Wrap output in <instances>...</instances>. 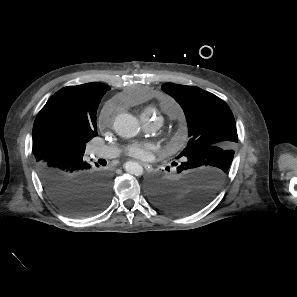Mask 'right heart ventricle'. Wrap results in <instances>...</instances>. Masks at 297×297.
I'll return each mask as SVG.
<instances>
[{
	"label": "right heart ventricle",
	"instance_id": "right-heart-ventricle-1",
	"mask_svg": "<svg viewBox=\"0 0 297 297\" xmlns=\"http://www.w3.org/2000/svg\"><path fill=\"white\" fill-rule=\"evenodd\" d=\"M159 106L160 108L167 112V113H171L173 110H174V105L172 102L170 101H167V100H162L160 103H159ZM149 114V109H147L143 114L142 116L145 117L146 115Z\"/></svg>",
	"mask_w": 297,
	"mask_h": 297
}]
</instances>
